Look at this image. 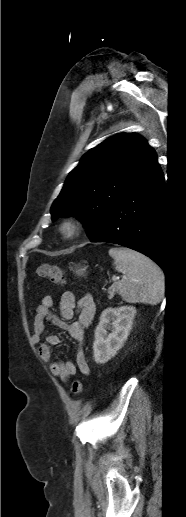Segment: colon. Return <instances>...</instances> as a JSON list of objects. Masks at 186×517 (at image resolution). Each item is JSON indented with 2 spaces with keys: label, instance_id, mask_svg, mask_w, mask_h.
Here are the masks:
<instances>
[{
  "label": "colon",
  "instance_id": "1",
  "mask_svg": "<svg viewBox=\"0 0 186 517\" xmlns=\"http://www.w3.org/2000/svg\"><path fill=\"white\" fill-rule=\"evenodd\" d=\"M36 273L38 277L49 280L55 284H62L65 278L64 271L60 267L49 264L40 265ZM82 389V382L79 379H74L71 383L72 394L79 395L81 394Z\"/></svg>",
  "mask_w": 186,
  "mask_h": 517
}]
</instances>
